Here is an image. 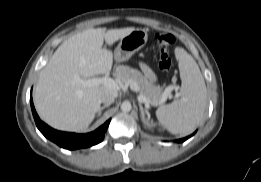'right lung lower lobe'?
Returning <instances> with one entry per match:
<instances>
[{
	"mask_svg": "<svg viewBox=\"0 0 261 182\" xmlns=\"http://www.w3.org/2000/svg\"><path fill=\"white\" fill-rule=\"evenodd\" d=\"M30 103H31V109L34 116L35 123L37 125V128L40 130V132L46 138H48L49 140L53 141L54 143H56L57 145L65 149L73 150L79 148H87L100 143L103 140L104 134L110 123V119H109L108 121L105 122L104 125L100 126L94 132L88 134H75V133L61 132L52 129L51 127H49L48 125H46L44 122L40 120L33 105L32 95L30 97Z\"/></svg>",
	"mask_w": 261,
	"mask_h": 182,
	"instance_id": "98d812e1",
	"label": "right lung lower lobe"
}]
</instances>
